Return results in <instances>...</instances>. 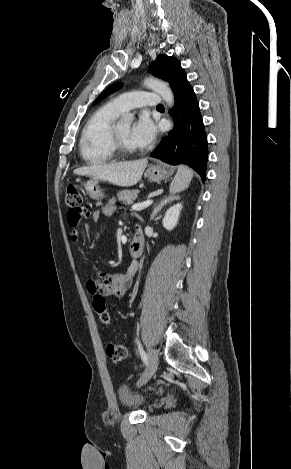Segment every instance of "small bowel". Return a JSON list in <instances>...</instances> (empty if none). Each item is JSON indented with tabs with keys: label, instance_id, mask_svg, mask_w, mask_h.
Here are the masks:
<instances>
[{
	"label": "small bowel",
	"instance_id": "small-bowel-1",
	"mask_svg": "<svg viewBox=\"0 0 291 469\" xmlns=\"http://www.w3.org/2000/svg\"><path fill=\"white\" fill-rule=\"evenodd\" d=\"M112 212L113 207L111 205H108L101 211L95 212L92 218L94 220H97L101 215L110 216ZM88 216L89 213L79 215L78 212L75 210L68 211L67 221L71 228V239L74 242H77L80 239V226L82 218ZM138 267L139 265L137 262H132L124 272H119L115 274L101 273L99 278H90L87 280V290L90 294L93 295V298L96 293H106L108 296H113L118 299H122L126 296L128 289L132 283V280L138 270Z\"/></svg>",
	"mask_w": 291,
	"mask_h": 469
}]
</instances>
